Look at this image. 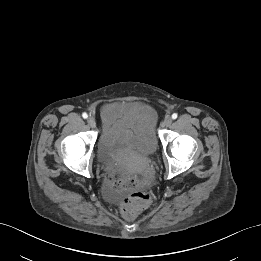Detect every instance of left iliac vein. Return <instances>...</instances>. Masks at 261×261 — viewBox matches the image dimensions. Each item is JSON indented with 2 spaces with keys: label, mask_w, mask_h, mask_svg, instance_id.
<instances>
[{
  "label": "left iliac vein",
  "mask_w": 261,
  "mask_h": 261,
  "mask_svg": "<svg viewBox=\"0 0 261 261\" xmlns=\"http://www.w3.org/2000/svg\"><path fill=\"white\" fill-rule=\"evenodd\" d=\"M163 124L166 127L170 126L172 124V118L170 116L165 117Z\"/></svg>",
  "instance_id": "4c4485c4"
}]
</instances>
